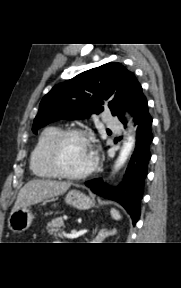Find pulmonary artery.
I'll return each mask as SVG.
<instances>
[{
    "label": "pulmonary artery",
    "instance_id": "1",
    "mask_svg": "<svg viewBox=\"0 0 181 288\" xmlns=\"http://www.w3.org/2000/svg\"><path fill=\"white\" fill-rule=\"evenodd\" d=\"M104 120H105L106 126L108 128H110V129H119L120 128L119 121L115 117H113L112 115L106 113L104 115Z\"/></svg>",
    "mask_w": 181,
    "mask_h": 288
}]
</instances>
